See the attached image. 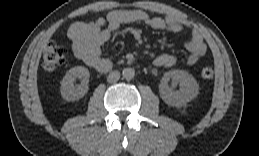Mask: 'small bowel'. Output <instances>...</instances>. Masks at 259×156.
Masks as SVG:
<instances>
[{
    "label": "small bowel",
    "mask_w": 259,
    "mask_h": 156,
    "mask_svg": "<svg viewBox=\"0 0 259 156\" xmlns=\"http://www.w3.org/2000/svg\"><path fill=\"white\" fill-rule=\"evenodd\" d=\"M143 23L146 26L171 33H180L190 30V37L185 43L189 55L187 65H194L207 51L206 43L201 33L187 21L169 15L166 17L151 16L143 10H112L105 17L91 22H78L68 30V37L72 41L74 54L90 67L105 72L111 68V61L101 56V47L108 41L113 32L123 24ZM106 26V28H104ZM177 59L170 53L156 56L153 63L156 66L171 67Z\"/></svg>",
    "instance_id": "small-bowel-1"
}]
</instances>
